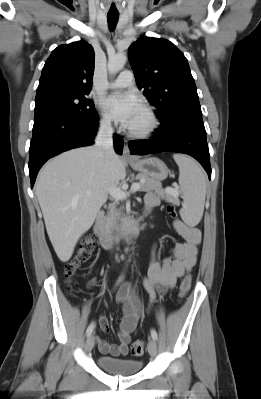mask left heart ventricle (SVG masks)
<instances>
[{
	"label": "left heart ventricle",
	"mask_w": 261,
	"mask_h": 399,
	"mask_svg": "<svg viewBox=\"0 0 261 399\" xmlns=\"http://www.w3.org/2000/svg\"><path fill=\"white\" fill-rule=\"evenodd\" d=\"M147 124V119L144 111L141 112V114L135 119L133 124L131 125V129H142L146 126Z\"/></svg>",
	"instance_id": "left-heart-ventricle-1"
}]
</instances>
